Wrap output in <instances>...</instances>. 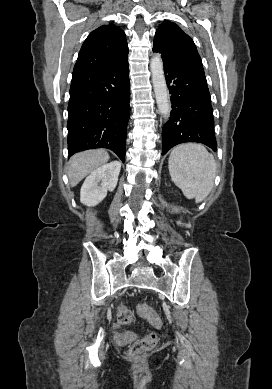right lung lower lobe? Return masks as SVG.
<instances>
[{
	"mask_svg": "<svg viewBox=\"0 0 272 389\" xmlns=\"http://www.w3.org/2000/svg\"><path fill=\"white\" fill-rule=\"evenodd\" d=\"M127 57L105 68L73 75L68 104V152L108 148L124 162L130 114Z\"/></svg>",
	"mask_w": 272,
	"mask_h": 389,
	"instance_id": "obj_1",
	"label": "right lung lower lobe"
}]
</instances>
